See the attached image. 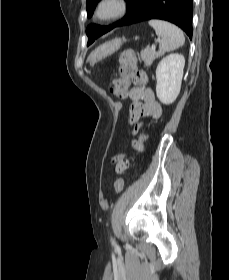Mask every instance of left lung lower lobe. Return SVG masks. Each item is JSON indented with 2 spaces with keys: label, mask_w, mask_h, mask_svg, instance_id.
I'll use <instances>...</instances> for the list:
<instances>
[{
  "label": "left lung lower lobe",
  "mask_w": 229,
  "mask_h": 280,
  "mask_svg": "<svg viewBox=\"0 0 229 280\" xmlns=\"http://www.w3.org/2000/svg\"><path fill=\"white\" fill-rule=\"evenodd\" d=\"M192 2L193 0H136L128 15L116 26H126L150 19H161L176 24L191 39Z\"/></svg>",
  "instance_id": "1"
}]
</instances>
